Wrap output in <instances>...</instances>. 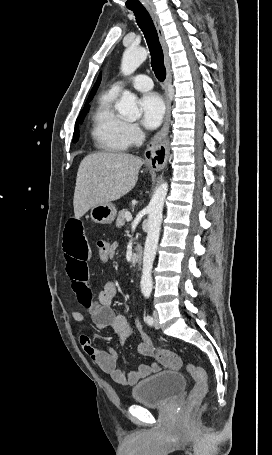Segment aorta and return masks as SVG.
<instances>
[{"instance_id":"aorta-1","label":"aorta","mask_w":272,"mask_h":455,"mask_svg":"<svg viewBox=\"0 0 272 455\" xmlns=\"http://www.w3.org/2000/svg\"><path fill=\"white\" fill-rule=\"evenodd\" d=\"M147 58V51L143 47H128L122 57L121 71L124 75L132 74ZM118 112L128 120H137L141 116V111L137 106V97L125 90L122 93L120 102L116 106ZM168 192V184L162 183L156 188L150 203L147 206L148 212V232L144 247L143 269L141 276V291L144 294H150L152 291L151 271L156 255L161 223L162 211L166 195Z\"/></svg>"}]
</instances>
